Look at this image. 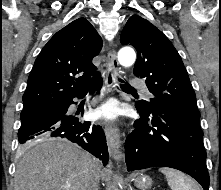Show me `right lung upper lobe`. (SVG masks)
<instances>
[{
  "label": "right lung upper lobe",
  "instance_id": "1",
  "mask_svg": "<svg viewBox=\"0 0 221 190\" xmlns=\"http://www.w3.org/2000/svg\"><path fill=\"white\" fill-rule=\"evenodd\" d=\"M102 39L85 19L74 20L44 46L28 77L24 109L58 103L83 93L97 75L92 59Z\"/></svg>",
  "mask_w": 221,
  "mask_h": 190
}]
</instances>
